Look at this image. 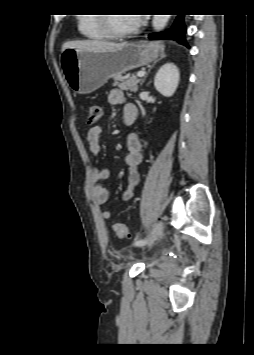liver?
<instances>
[{"mask_svg": "<svg viewBox=\"0 0 254 355\" xmlns=\"http://www.w3.org/2000/svg\"><path fill=\"white\" fill-rule=\"evenodd\" d=\"M123 45H125V43H114L102 40L69 41L63 44L62 51L67 48L76 49L78 51H102L117 49Z\"/></svg>", "mask_w": 254, "mask_h": 355, "instance_id": "liver-1", "label": "liver"}]
</instances>
